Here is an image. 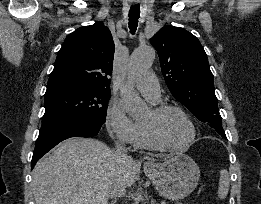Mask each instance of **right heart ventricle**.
<instances>
[{"instance_id":"e07e8e85","label":"right heart ventricle","mask_w":261,"mask_h":204,"mask_svg":"<svg viewBox=\"0 0 261 204\" xmlns=\"http://www.w3.org/2000/svg\"><path fill=\"white\" fill-rule=\"evenodd\" d=\"M134 145L140 149H147V150L159 149L157 146H155L152 143V141L148 137L142 122H136V137H135Z\"/></svg>"}]
</instances>
